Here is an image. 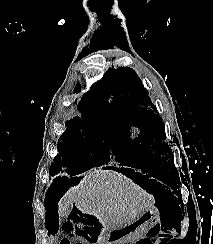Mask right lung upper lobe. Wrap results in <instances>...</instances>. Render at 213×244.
Wrapping results in <instances>:
<instances>
[{"instance_id": "right-lung-upper-lobe-1", "label": "right lung upper lobe", "mask_w": 213, "mask_h": 244, "mask_svg": "<svg viewBox=\"0 0 213 244\" xmlns=\"http://www.w3.org/2000/svg\"><path fill=\"white\" fill-rule=\"evenodd\" d=\"M77 109L108 114V110L102 105L98 96L96 95L94 87L90 90V92L86 93L82 97L78 103Z\"/></svg>"}]
</instances>
